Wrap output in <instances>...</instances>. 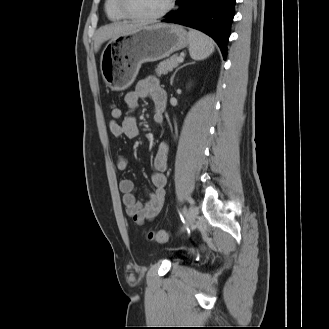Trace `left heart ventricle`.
I'll list each match as a JSON object with an SVG mask.
<instances>
[{
	"mask_svg": "<svg viewBox=\"0 0 329 329\" xmlns=\"http://www.w3.org/2000/svg\"><path fill=\"white\" fill-rule=\"evenodd\" d=\"M128 8L139 15L151 16L159 13L168 0H126Z\"/></svg>",
	"mask_w": 329,
	"mask_h": 329,
	"instance_id": "1",
	"label": "left heart ventricle"
}]
</instances>
